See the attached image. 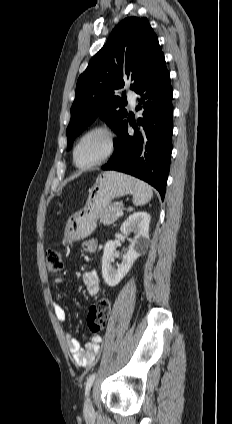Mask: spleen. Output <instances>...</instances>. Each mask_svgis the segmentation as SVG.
I'll use <instances>...</instances> for the list:
<instances>
[{
    "label": "spleen",
    "instance_id": "obj_1",
    "mask_svg": "<svg viewBox=\"0 0 232 424\" xmlns=\"http://www.w3.org/2000/svg\"><path fill=\"white\" fill-rule=\"evenodd\" d=\"M153 197L152 188L141 180L135 181L133 191V204L135 206H142L148 203Z\"/></svg>",
    "mask_w": 232,
    "mask_h": 424
}]
</instances>
